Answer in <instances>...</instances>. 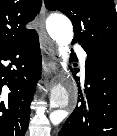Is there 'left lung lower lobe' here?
<instances>
[{
    "label": "left lung lower lobe",
    "mask_w": 117,
    "mask_h": 136,
    "mask_svg": "<svg viewBox=\"0 0 117 136\" xmlns=\"http://www.w3.org/2000/svg\"><path fill=\"white\" fill-rule=\"evenodd\" d=\"M85 69L79 104L58 135L117 136V58L87 53Z\"/></svg>",
    "instance_id": "obj_1"
}]
</instances>
